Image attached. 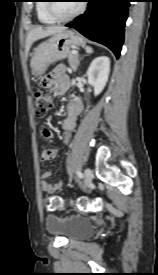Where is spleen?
I'll list each match as a JSON object with an SVG mask.
<instances>
[{"label":"spleen","mask_w":158,"mask_h":275,"mask_svg":"<svg viewBox=\"0 0 158 275\" xmlns=\"http://www.w3.org/2000/svg\"><path fill=\"white\" fill-rule=\"evenodd\" d=\"M86 51H87L88 53H92V52H93V49H92L91 47H89V46H86Z\"/></svg>","instance_id":"spleen-1"}]
</instances>
